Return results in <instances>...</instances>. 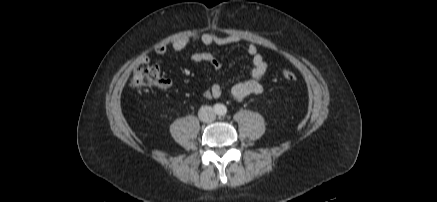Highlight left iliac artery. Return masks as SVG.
<instances>
[{"instance_id": "left-iliac-artery-1", "label": "left iliac artery", "mask_w": 437, "mask_h": 202, "mask_svg": "<svg viewBox=\"0 0 437 202\" xmlns=\"http://www.w3.org/2000/svg\"><path fill=\"white\" fill-rule=\"evenodd\" d=\"M226 113V109L225 108H222V110H221V115H224Z\"/></svg>"}]
</instances>
